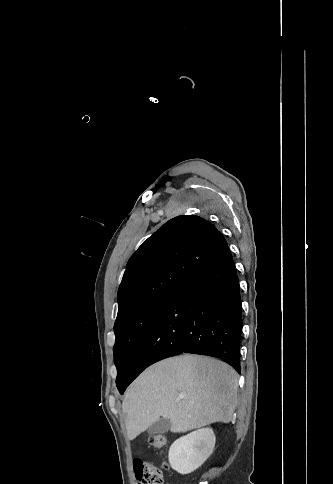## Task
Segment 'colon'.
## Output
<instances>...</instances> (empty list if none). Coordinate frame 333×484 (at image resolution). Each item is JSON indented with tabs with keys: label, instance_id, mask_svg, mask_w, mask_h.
Instances as JSON below:
<instances>
[{
	"label": "colon",
	"instance_id": "1",
	"mask_svg": "<svg viewBox=\"0 0 333 484\" xmlns=\"http://www.w3.org/2000/svg\"><path fill=\"white\" fill-rule=\"evenodd\" d=\"M151 446L163 449L166 446V438L162 434L151 435L148 439ZM139 484H164L163 471L148 462L142 461L137 473Z\"/></svg>",
	"mask_w": 333,
	"mask_h": 484
}]
</instances>
